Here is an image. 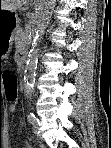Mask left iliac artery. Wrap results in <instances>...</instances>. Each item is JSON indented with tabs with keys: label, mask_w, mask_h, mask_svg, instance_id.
<instances>
[{
	"label": "left iliac artery",
	"mask_w": 111,
	"mask_h": 148,
	"mask_svg": "<svg viewBox=\"0 0 111 148\" xmlns=\"http://www.w3.org/2000/svg\"><path fill=\"white\" fill-rule=\"evenodd\" d=\"M27 119L31 124L38 123V119L35 117V115L33 113H29L27 115Z\"/></svg>",
	"instance_id": "left-iliac-artery-1"
}]
</instances>
